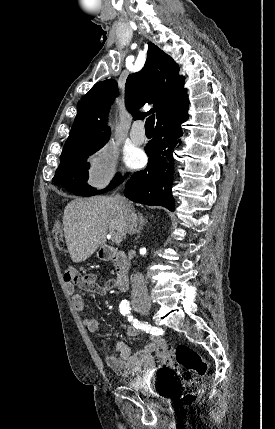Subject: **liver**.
Returning <instances> with one entry per match:
<instances>
[{
    "label": "liver",
    "mask_w": 275,
    "mask_h": 429,
    "mask_svg": "<svg viewBox=\"0 0 275 429\" xmlns=\"http://www.w3.org/2000/svg\"><path fill=\"white\" fill-rule=\"evenodd\" d=\"M63 225L70 257L76 263L104 245L108 231L121 237L127 233L124 213L112 196L72 200L65 207Z\"/></svg>",
    "instance_id": "obj_1"
}]
</instances>
